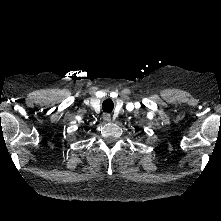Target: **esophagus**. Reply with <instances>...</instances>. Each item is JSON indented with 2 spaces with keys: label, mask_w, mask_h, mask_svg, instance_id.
I'll return each mask as SVG.
<instances>
[{
  "label": "esophagus",
  "mask_w": 221,
  "mask_h": 221,
  "mask_svg": "<svg viewBox=\"0 0 221 221\" xmlns=\"http://www.w3.org/2000/svg\"><path fill=\"white\" fill-rule=\"evenodd\" d=\"M103 119L105 122H110L111 121V116L109 114H104Z\"/></svg>",
  "instance_id": "esophagus-1"
}]
</instances>
